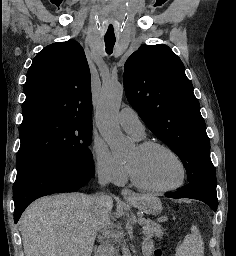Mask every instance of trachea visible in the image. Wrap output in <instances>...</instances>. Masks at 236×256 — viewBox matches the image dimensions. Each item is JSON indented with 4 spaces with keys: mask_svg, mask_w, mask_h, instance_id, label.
Segmentation results:
<instances>
[{
    "mask_svg": "<svg viewBox=\"0 0 236 256\" xmlns=\"http://www.w3.org/2000/svg\"><path fill=\"white\" fill-rule=\"evenodd\" d=\"M105 45H106V53L109 55L113 52V47L115 45V38H105Z\"/></svg>",
    "mask_w": 236,
    "mask_h": 256,
    "instance_id": "3493384b",
    "label": "trachea"
}]
</instances>
